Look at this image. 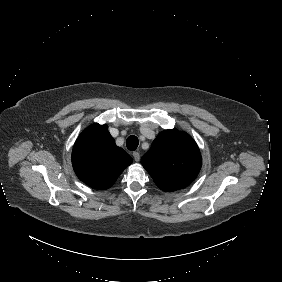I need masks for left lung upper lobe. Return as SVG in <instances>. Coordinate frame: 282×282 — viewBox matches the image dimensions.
<instances>
[{
	"label": "left lung upper lobe",
	"instance_id": "obj_1",
	"mask_svg": "<svg viewBox=\"0 0 282 282\" xmlns=\"http://www.w3.org/2000/svg\"><path fill=\"white\" fill-rule=\"evenodd\" d=\"M141 163L161 190L172 192L195 180L202 159L192 137L173 129L158 134Z\"/></svg>",
	"mask_w": 282,
	"mask_h": 282
}]
</instances>
